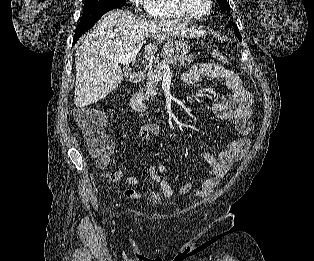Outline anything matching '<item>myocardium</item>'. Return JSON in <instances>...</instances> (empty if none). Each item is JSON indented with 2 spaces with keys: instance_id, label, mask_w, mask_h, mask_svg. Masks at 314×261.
<instances>
[{
  "instance_id": "f54148a6",
  "label": "myocardium",
  "mask_w": 314,
  "mask_h": 261,
  "mask_svg": "<svg viewBox=\"0 0 314 261\" xmlns=\"http://www.w3.org/2000/svg\"><path fill=\"white\" fill-rule=\"evenodd\" d=\"M176 7L188 18L190 19H202L210 14L213 8V0H208V8L202 14H194L192 13L185 5L184 0H173Z\"/></svg>"
}]
</instances>
